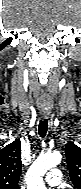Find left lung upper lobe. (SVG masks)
Wrapping results in <instances>:
<instances>
[{"label": "left lung upper lobe", "mask_w": 81, "mask_h": 189, "mask_svg": "<svg viewBox=\"0 0 81 189\" xmlns=\"http://www.w3.org/2000/svg\"><path fill=\"white\" fill-rule=\"evenodd\" d=\"M69 175L76 189H81V148L73 142L65 145Z\"/></svg>", "instance_id": "obj_1"}]
</instances>
